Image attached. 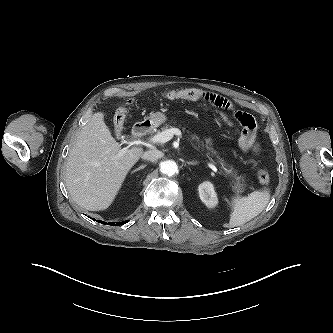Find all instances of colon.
<instances>
[{
  "label": "colon",
  "instance_id": "1",
  "mask_svg": "<svg viewBox=\"0 0 333 333\" xmlns=\"http://www.w3.org/2000/svg\"><path fill=\"white\" fill-rule=\"evenodd\" d=\"M162 96L170 100H197L200 98V94L195 89H182V90H169L162 93ZM131 102L120 107L114 115V129L117 134H120L123 129L124 122L126 120L129 106ZM222 118L228 123L229 120L224 113H221ZM258 181L261 184H268L270 182V174L267 170L261 169L257 173Z\"/></svg>",
  "mask_w": 333,
  "mask_h": 333
}]
</instances>
